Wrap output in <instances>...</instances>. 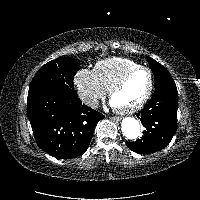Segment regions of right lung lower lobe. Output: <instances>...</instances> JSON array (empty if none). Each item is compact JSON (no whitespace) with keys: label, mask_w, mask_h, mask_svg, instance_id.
Masks as SVG:
<instances>
[{"label":"right lung lower lobe","mask_w":200,"mask_h":200,"mask_svg":"<svg viewBox=\"0 0 200 200\" xmlns=\"http://www.w3.org/2000/svg\"><path fill=\"white\" fill-rule=\"evenodd\" d=\"M27 115L38 146L65 159L85 153L96 124L104 118L82 104L74 89L28 95Z\"/></svg>","instance_id":"1"}]
</instances>
